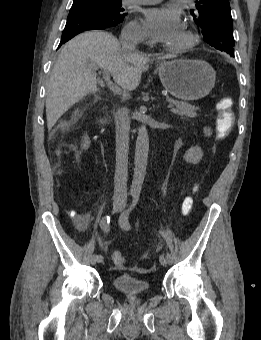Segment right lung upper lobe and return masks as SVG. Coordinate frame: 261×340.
<instances>
[{"instance_id":"cb5924a9","label":"right lung upper lobe","mask_w":261,"mask_h":340,"mask_svg":"<svg viewBox=\"0 0 261 340\" xmlns=\"http://www.w3.org/2000/svg\"><path fill=\"white\" fill-rule=\"evenodd\" d=\"M81 1H91V0H74V2H81Z\"/></svg>"}]
</instances>
